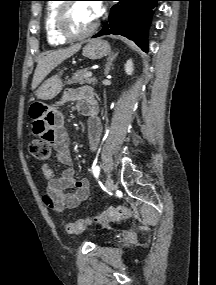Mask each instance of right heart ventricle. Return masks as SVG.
Segmentation results:
<instances>
[{
	"label": "right heart ventricle",
	"instance_id": "obj_1",
	"mask_svg": "<svg viewBox=\"0 0 216 285\" xmlns=\"http://www.w3.org/2000/svg\"><path fill=\"white\" fill-rule=\"evenodd\" d=\"M61 3L58 1L49 2L46 7V14L44 20L46 38L50 45L60 46L67 42L66 39L62 38L56 29V17L59 11Z\"/></svg>",
	"mask_w": 216,
	"mask_h": 285
}]
</instances>
